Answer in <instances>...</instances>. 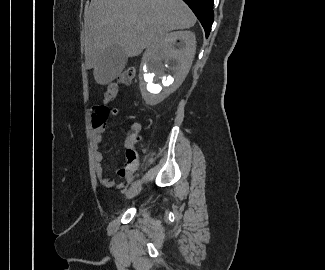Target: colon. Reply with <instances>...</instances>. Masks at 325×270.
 I'll list each match as a JSON object with an SVG mask.
<instances>
[{"label":"colon","mask_w":325,"mask_h":270,"mask_svg":"<svg viewBox=\"0 0 325 270\" xmlns=\"http://www.w3.org/2000/svg\"><path fill=\"white\" fill-rule=\"evenodd\" d=\"M135 74V68L128 67L118 78L107 83L104 90V101L106 103L114 101L118 95L119 87L121 85H130L135 78Z\"/></svg>","instance_id":"colon-1"}]
</instances>
